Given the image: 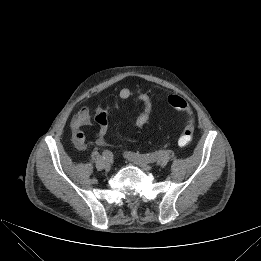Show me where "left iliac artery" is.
I'll use <instances>...</instances> for the list:
<instances>
[{"label":"left iliac artery","instance_id":"left-iliac-artery-1","mask_svg":"<svg viewBox=\"0 0 261 261\" xmlns=\"http://www.w3.org/2000/svg\"><path fill=\"white\" fill-rule=\"evenodd\" d=\"M130 155H136L140 156L142 159L148 161V162H154L156 159H158V153H149V154H135V153H130Z\"/></svg>","mask_w":261,"mask_h":261}]
</instances>
